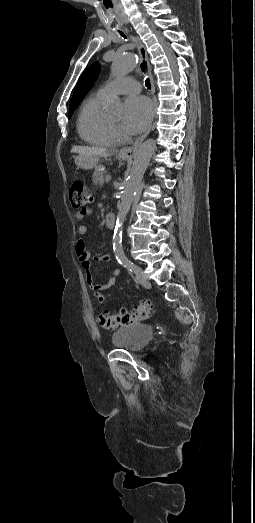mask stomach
I'll use <instances>...</instances> for the list:
<instances>
[{
	"label": "stomach",
	"mask_w": 255,
	"mask_h": 523,
	"mask_svg": "<svg viewBox=\"0 0 255 523\" xmlns=\"http://www.w3.org/2000/svg\"><path fill=\"white\" fill-rule=\"evenodd\" d=\"M119 158H121V160H130L132 156H128L124 150H121ZM75 164L77 168H82V170H92V168H96L97 160L96 158H85V156H77V158H75Z\"/></svg>",
	"instance_id": "1"
}]
</instances>
